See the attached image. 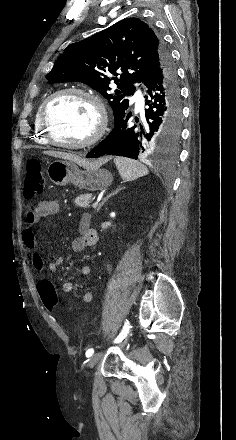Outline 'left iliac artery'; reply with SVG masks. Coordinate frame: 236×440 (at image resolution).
<instances>
[{
  "label": "left iliac artery",
  "mask_w": 236,
  "mask_h": 440,
  "mask_svg": "<svg viewBox=\"0 0 236 440\" xmlns=\"http://www.w3.org/2000/svg\"><path fill=\"white\" fill-rule=\"evenodd\" d=\"M131 326L128 320L125 321L124 327L121 331V333L117 336V338L115 339L114 343H119L121 342L129 333ZM94 353V349L90 348L86 351V357H91Z\"/></svg>",
  "instance_id": "44dca946"
}]
</instances>
